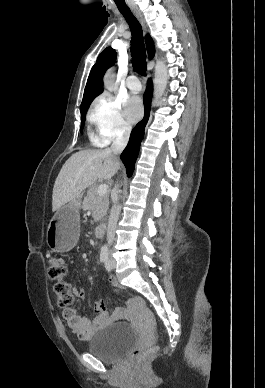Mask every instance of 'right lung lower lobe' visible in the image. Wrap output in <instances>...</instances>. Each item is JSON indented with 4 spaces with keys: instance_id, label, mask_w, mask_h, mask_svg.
Wrapping results in <instances>:
<instances>
[{
    "instance_id": "1",
    "label": "right lung lower lobe",
    "mask_w": 265,
    "mask_h": 388,
    "mask_svg": "<svg viewBox=\"0 0 265 388\" xmlns=\"http://www.w3.org/2000/svg\"><path fill=\"white\" fill-rule=\"evenodd\" d=\"M153 86L152 81L150 80L147 86V89L144 94V109L145 115L142 121H140L136 127L132 130L130 135V140L127 147L124 149L120 155L121 160L123 161L127 176L131 177L135 168V162L139 153L140 143L144 137V130L149 119V113L151 108V99H152Z\"/></svg>"
}]
</instances>
